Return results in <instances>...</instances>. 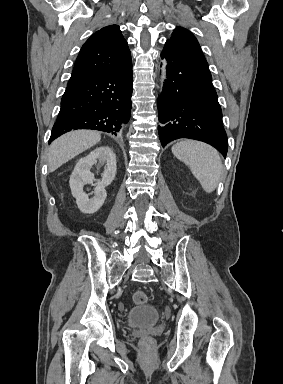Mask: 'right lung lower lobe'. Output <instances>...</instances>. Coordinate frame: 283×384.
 I'll return each instance as SVG.
<instances>
[{
	"mask_svg": "<svg viewBox=\"0 0 283 384\" xmlns=\"http://www.w3.org/2000/svg\"><path fill=\"white\" fill-rule=\"evenodd\" d=\"M132 65L67 86L49 143L75 129H92L117 136L131 115Z\"/></svg>",
	"mask_w": 283,
	"mask_h": 384,
	"instance_id": "1",
	"label": "right lung lower lobe"
}]
</instances>
